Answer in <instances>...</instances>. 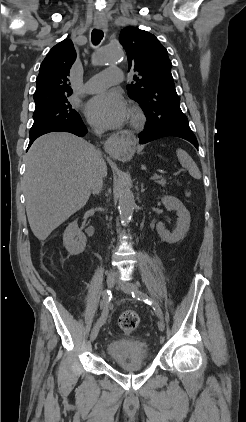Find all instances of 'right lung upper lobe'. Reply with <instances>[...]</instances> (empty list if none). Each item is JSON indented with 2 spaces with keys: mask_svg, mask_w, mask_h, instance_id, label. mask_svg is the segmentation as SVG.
Returning a JSON list of instances; mask_svg holds the SVG:
<instances>
[{
  "mask_svg": "<svg viewBox=\"0 0 246 422\" xmlns=\"http://www.w3.org/2000/svg\"><path fill=\"white\" fill-rule=\"evenodd\" d=\"M75 59L76 51L70 39L61 41L49 51L36 78L35 109L72 94L68 78Z\"/></svg>",
  "mask_w": 246,
  "mask_h": 422,
  "instance_id": "cb5924a9",
  "label": "right lung upper lobe"
}]
</instances>
